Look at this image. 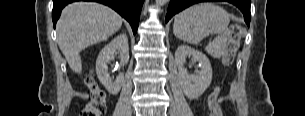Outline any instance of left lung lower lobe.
Listing matches in <instances>:
<instances>
[{
    "label": "left lung lower lobe",
    "instance_id": "1",
    "mask_svg": "<svg viewBox=\"0 0 305 116\" xmlns=\"http://www.w3.org/2000/svg\"><path fill=\"white\" fill-rule=\"evenodd\" d=\"M206 1H212V0H171L167 10L166 22H168L173 15L191 6L192 4L199 2H206ZM225 1L234 4L242 11V13L244 14L245 21L249 26L251 19V14H250L251 0H225Z\"/></svg>",
    "mask_w": 305,
    "mask_h": 116
}]
</instances>
